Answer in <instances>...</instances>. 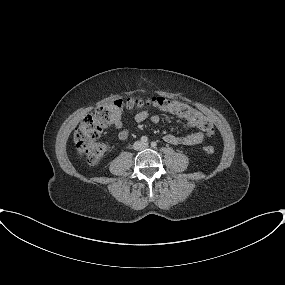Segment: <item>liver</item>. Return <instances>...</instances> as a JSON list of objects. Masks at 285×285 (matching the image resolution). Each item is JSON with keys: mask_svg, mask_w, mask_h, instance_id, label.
<instances>
[{"mask_svg": "<svg viewBox=\"0 0 285 285\" xmlns=\"http://www.w3.org/2000/svg\"><path fill=\"white\" fill-rule=\"evenodd\" d=\"M79 153H80V154L82 153L81 150H79Z\"/></svg>", "mask_w": 285, "mask_h": 285, "instance_id": "1", "label": "liver"}]
</instances>
